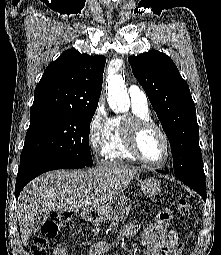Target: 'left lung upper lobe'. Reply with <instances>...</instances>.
Masks as SVG:
<instances>
[{
    "mask_svg": "<svg viewBox=\"0 0 221 255\" xmlns=\"http://www.w3.org/2000/svg\"><path fill=\"white\" fill-rule=\"evenodd\" d=\"M128 61L169 139L179 180H204L199 128L189 86L166 54L152 50Z\"/></svg>",
    "mask_w": 221,
    "mask_h": 255,
    "instance_id": "obj_1",
    "label": "left lung upper lobe"
}]
</instances>
